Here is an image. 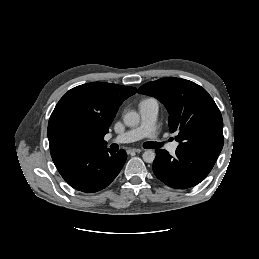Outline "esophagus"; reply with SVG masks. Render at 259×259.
<instances>
[{
    "label": "esophagus",
    "mask_w": 259,
    "mask_h": 259,
    "mask_svg": "<svg viewBox=\"0 0 259 259\" xmlns=\"http://www.w3.org/2000/svg\"><path fill=\"white\" fill-rule=\"evenodd\" d=\"M140 152H142L141 149H129V150H128V153H129V154H131V153H140Z\"/></svg>",
    "instance_id": "obj_1"
}]
</instances>
